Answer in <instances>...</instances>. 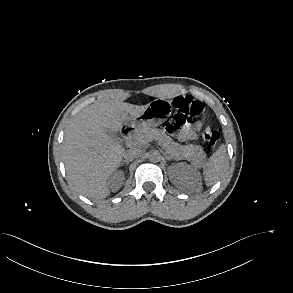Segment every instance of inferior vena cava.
Returning a JSON list of instances; mask_svg holds the SVG:
<instances>
[{"label": "inferior vena cava", "mask_w": 293, "mask_h": 293, "mask_svg": "<svg viewBox=\"0 0 293 293\" xmlns=\"http://www.w3.org/2000/svg\"><path fill=\"white\" fill-rule=\"evenodd\" d=\"M142 155V150L140 148L132 147L126 150L123 157L126 161H132Z\"/></svg>", "instance_id": "602c4592"}]
</instances>
